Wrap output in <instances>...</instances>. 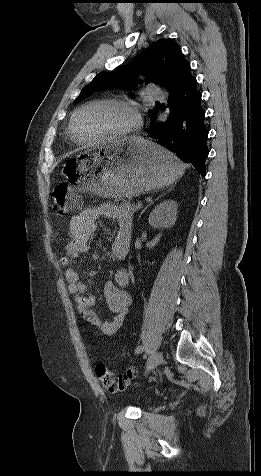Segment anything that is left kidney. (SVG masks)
Returning <instances> with one entry per match:
<instances>
[{
    "label": "left kidney",
    "instance_id": "1",
    "mask_svg": "<svg viewBox=\"0 0 261 476\" xmlns=\"http://www.w3.org/2000/svg\"><path fill=\"white\" fill-rule=\"evenodd\" d=\"M178 204L174 200H164L150 213L148 222L154 228H170L177 219Z\"/></svg>",
    "mask_w": 261,
    "mask_h": 476
}]
</instances>
